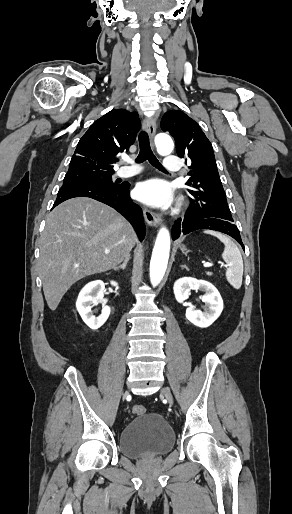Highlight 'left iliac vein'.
Returning a JSON list of instances; mask_svg holds the SVG:
<instances>
[{"label": "left iliac vein", "instance_id": "obj_1", "mask_svg": "<svg viewBox=\"0 0 292 514\" xmlns=\"http://www.w3.org/2000/svg\"><path fill=\"white\" fill-rule=\"evenodd\" d=\"M161 392L165 396V398L167 399L169 404L172 405L173 404V397H172V394H171L170 390L168 388L164 387L161 390Z\"/></svg>", "mask_w": 292, "mask_h": 514}]
</instances>
